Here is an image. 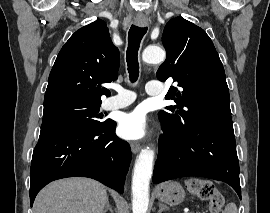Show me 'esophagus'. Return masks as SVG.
Masks as SVG:
<instances>
[{"label": "esophagus", "instance_id": "obj_1", "mask_svg": "<svg viewBox=\"0 0 270 213\" xmlns=\"http://www.w3.org/2000/svg\"><path fill=\"white\" fill-rule=\"evenodd\" d=\"M135 24L139 27H146L148 25V20L145 17H136ZM141 149L139 143H131V150L134 154L138 153Z\"/></svg>", "mask_w": 270, "mask_h": 213}]
</instances>
